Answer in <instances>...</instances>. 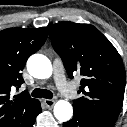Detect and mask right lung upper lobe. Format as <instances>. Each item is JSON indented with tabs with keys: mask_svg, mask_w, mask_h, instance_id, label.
<instances>
[{
	"mask_svg": "<svg viewBox=\"0 0 127 127\" xmlns=\"http://www.w3.org/2000/svg\"><path fill=\"white\" fill-rule=\"evenodd\" d=\"M48 29L9 28L0 31V127H31L39 114V101L27 92L11 96L24 82L21 71L30 55L38 51Z\"/></svg>",
	"mask_w": 127,
	"mask_h": 127,
	"instance_id": "obj_1",
	"label": "right lung upper lobe"
}]
</instances>
